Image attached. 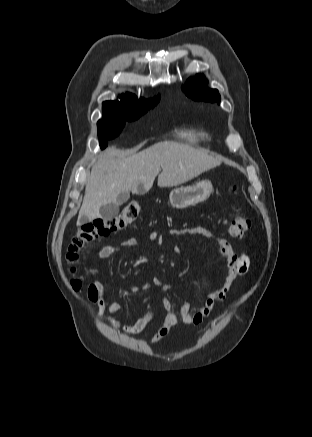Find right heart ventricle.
Segmentation results:
<instances>
[{
    "instance_id": "obj_1",
    "label": "right heart ventricle",
    "mask_w": 312,
    "mask_h": 437,
    "mask_svg": "<svg viewBox=\"0 0 312 437\" xmlns=\"http://www.w3.org/2000/svg\"><path fill=\"white\" fill-rule=\"evenodd\" d=\"M187 135H188L190 138H194L196 135H198V133H197L196 131H194V130H189V131L187 132Z\"/></svg>"
}]
</instances>
